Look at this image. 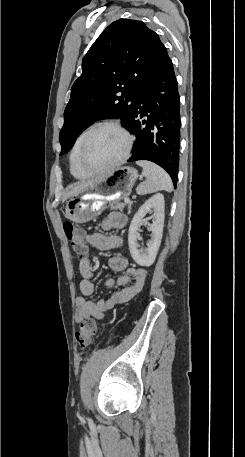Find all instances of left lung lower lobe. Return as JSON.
Returning <instances> with one entry per match:
<instances>
[{
	"label": "left lung lower lobe",
	"instance_id": "left-lung-lower-lobe-1",
	"mask_svg": "<svg viewBox=\"0 0 245 457\" xmlns=\"http://www.w3.org/2000/svg\"><path fill=\"white\" fill-rule=\"evenodd\" d=\"M137 110L124 126L135 134L128 160H149L165 169L176 187L180 150V97L173 63L160 42L141 87Z\"/></svg>",
	"mask_w": 245,
	"mask_h": 457
}]
</instances>
